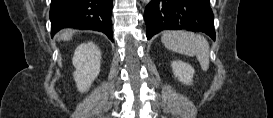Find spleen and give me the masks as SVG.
<instances>
[{"mask_svg":"<svg viewBox=\"0 0 273 118\" xmlns=\"http://www.w3.org/2000/svg\"><path fill=\"white\" fill-rule=\"evenodd\" d=\"M161 40L169 50L196 56L204 71L209 68V44L203 36L191 32L169 31L163 34Z\"/></svg>","mask_w":273,"mask_h":118,"instance_id":"obj_1","label":"spleen"}]
</instances>
